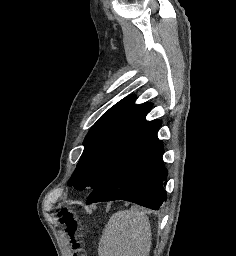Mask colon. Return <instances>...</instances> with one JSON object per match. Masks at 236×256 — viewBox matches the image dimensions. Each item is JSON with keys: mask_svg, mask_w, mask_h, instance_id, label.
Wrapping results in <instances>:
<instances>
[{"mask_svg": "<svg viewBox=\"0 0 236 256\" xmlns=\"http://www.w3.org/2000/svg\"><path fill=\"white\" fill-rule=\"evenodd\" d=\"M59 223L63 226L70 241L72 256H86L82 235H78L80 224L78 209L73 205H62L57 213Z\"/></svg>", "mask_w": 236, "mask_h": 256, "instance_id": "5ec220e1", "label": "colon"}]
</instances>
